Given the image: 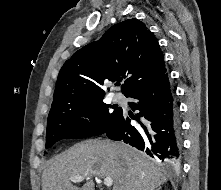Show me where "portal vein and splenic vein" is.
<instances>
[{
	"instance_id": "1",
	"label": "portal vein and splenic vein",
	"mask_w": 221,
	"mask_h": 190,
	"mask_svg": "<svg viewBox=\"0 0 221 190\" xmlns=\"http://www.w3.org/2000/svg\"><path fill=\"white\" fill-rule=\"evenodd\" d=\"M70 180L72 181V182H74V183H76V182H81V181H83L84 180V177L83 176H76V177H72V178H70ZM104 184L106 185V186H112L113 185V180H112V178H105L104 179Z\"/></svg>"
}]
</instances>
